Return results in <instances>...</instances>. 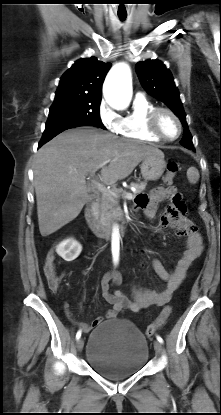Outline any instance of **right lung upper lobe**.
Here are the masks:
<instances>
[{"label":"right lung upper lobe","instance_id":"right-lung-upper-lobe-1","mask_svg":"<svg viewBox=\"0 0 221 415\" xmlns=\"http://www.w3.org/2000/svg\"><path fill=\"white\" fill-rule=\"evenodd\" d=\"M111 63L95 57L77 60L60 79L56 94H82L101 97L102 84Z\"/></svg>","mask_w":221,"mask_h":415}]
</instances>
